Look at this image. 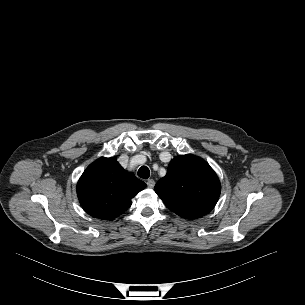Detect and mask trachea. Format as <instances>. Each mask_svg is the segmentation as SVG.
Returning a JSON list of instances; mask_svg holds the SVG:
<instances>
[{"instance_id": "obj_1", "label": "trachea", "mask_w": 305, "mask_h": 305, "mask_svg": "<svg viewBox=\"0 0 305 305\" xmlns=\"http://www.w3.org/2000/svg\"><path fill=\"white\" fill-rule=\"evenodd\" d=\"M138 176L143 179L149 178L150 171H149L148 167H146V166L140 167L138 170Z\"/></svg>"}]
</instances>
